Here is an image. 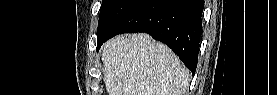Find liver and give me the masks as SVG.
Instances as JSON below:
<instances>
[{
  "mask_svg": "<svg viewBox=\"0 0 277 95\" xmlns=\"http://www.w3.org/2000/svg\"><path fill=\"white\" fill-rule=\"evenodd\" d=\"M108 95H185L189 70L145 33L116 36L102 48Z\"/></svg>",
  "mask_w": 277,
  "mask_h": 95,
  "instance_id": "obj_1",
  "label": "liver"
}]
</instances>
